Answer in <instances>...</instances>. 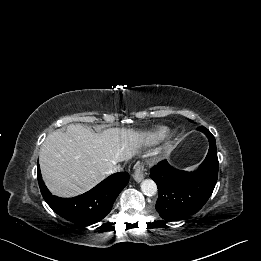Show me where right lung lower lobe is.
I'll use <instances>...</instances> for the list:
<instances>
[{
    "instance_id": "98d812e1",
    "label": "right lung lower lobe",
    "mask_w": 261,
    "mask_h": 261,
    "mask_svg": "<svg viewBox=\"0 0 261 261\" xmlns=\"http://www.w3.org/2000/svg\"><path fill=\"white\" fill-rule=\"evenodd\" d=\"M129 181L127 172L112 174L90 191L73 198L52 195L45 186L38 166V183L44 200L61 217L80 225L102 220Z\"/></svg>"
}]
</instances>
